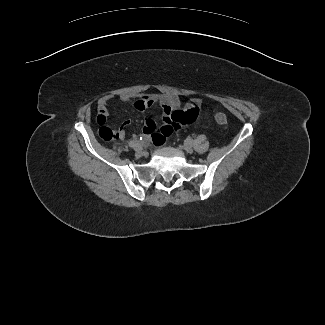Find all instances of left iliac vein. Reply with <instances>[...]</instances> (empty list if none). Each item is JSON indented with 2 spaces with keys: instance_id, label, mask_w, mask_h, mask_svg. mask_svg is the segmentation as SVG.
I'll return each instance as SVG.
<instances>
[{
  "instance_id": "left-iliac-vein-1",
  "label": "left iliac vein",
  "mask_w": 325,
  "mask_h": 325,
  "mask_svg": "<svg viewBox=\"0 0 325 325\" xmlns=\"http://www.w3.org/2000/svg\"><path fill=\"white\" fill-rule=\"evenodd\" d=\"M183 149L187 152V153H192L193 152V148L190 144H185L183 146Z\"/></svg>"
}]
</instances>
